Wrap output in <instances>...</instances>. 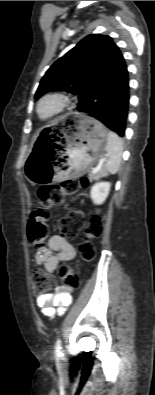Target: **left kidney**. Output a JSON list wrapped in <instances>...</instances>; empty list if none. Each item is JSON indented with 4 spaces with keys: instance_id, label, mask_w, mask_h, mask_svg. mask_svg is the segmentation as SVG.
<instances>
[{
    "instance_id": "5707ae66",
    "label": "left kidney",
    "mask_w": 155,
    "mask_h": 395,
    "mask_svg": "<svg viewBox=\"0 0 155 395\" xmlns=\"http://www.w3.org/2000/svg\"><path fill=\"white\" fill-rule=\"evenodd\" d=\"M111 184L109 182H97L90 191V197L94 204H102L108 197Z\"/></svg>"
}]
</instances>
